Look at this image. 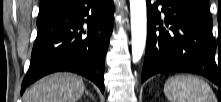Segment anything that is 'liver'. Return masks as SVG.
<instances>
[{"mask_svg":"<svg viewBox=\"0 0 221 102\" xmlns=\"http://www.w3.org/2000/svg\"><path fill=\"white\" fill-rule=\"evenodd\" d=\"M85 91L81 77L54 73L37 81L23 95V102H77Z\"/></svg>","mask_w":221,"mask_h":102,"instance_id":"liver-1","label":"liver"}]
</instances>
